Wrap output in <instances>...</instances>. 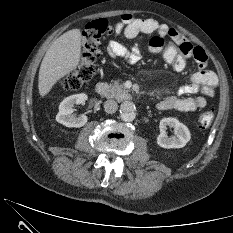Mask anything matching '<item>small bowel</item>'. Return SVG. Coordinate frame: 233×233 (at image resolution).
Masks as SVG:
<instances>
[{
  "mask_svg": "<svg viewBox=\"0 0 233 233\" xmlns=\"http://www.w3.org/2000/svg\"><path fill=\"white\" fill-rule=\"evenodd\" d=\"M115 32L125 39H133L139 34L157 33L162 37H169L177 46L183 56L193 58L199 66L189 79V82L181 86L177 94L169 96L157 103L158 110H177L182 112L195 111L207 105V96H213L218 88L217 75L208 69V56L205 50L194 46L181 36L177 30L151 18H140L134 14L122 15L121 21L116 24ZM107 52L111 57H123L129 63L135 64L141 60V52L137 45L128 48L118 41H110ZM199 94L197 96H190Z\"/></svg>",
  "mask_w": 233,
  "mask_h": 233,
  "instance_id": "c3829d8e",
  "label": "small bowel"
}]
</instances>
